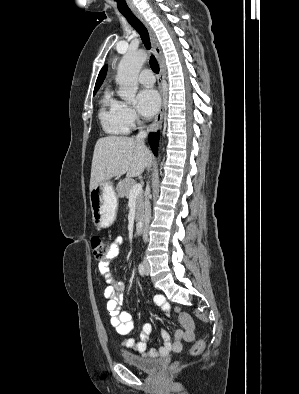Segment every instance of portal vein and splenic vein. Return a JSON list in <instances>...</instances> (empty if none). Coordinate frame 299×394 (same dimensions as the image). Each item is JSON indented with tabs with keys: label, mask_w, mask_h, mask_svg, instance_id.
Instances as JSON below:
<instances>
[{
	"label": "portal vein and splenic vein",
	"mask_w": 299,
	"mask_h": 394,
	"mask_svg": "<svg viewBox=\"0 0 299 394\" xmlns=\"http://www.w3.org/2000/svg\"><path fill=\"white\" fill-rule=\"evenodd\" d=\"M140 192H142V184L137 183L130 190V197H136Z\"/></svg>",
	"instance_id": "1"
}]
</instances>
